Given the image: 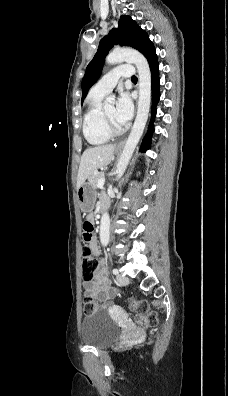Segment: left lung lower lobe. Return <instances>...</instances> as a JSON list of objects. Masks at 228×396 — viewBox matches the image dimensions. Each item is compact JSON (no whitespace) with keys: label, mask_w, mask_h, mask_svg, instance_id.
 Returning <instances> with one entry per match:
<instances>
[{"label":"left lung lower lobe","mask_w":228,"mask_h":396,"mask_svg":"<svg viewBox=\"0 0 228 396\" xmlns=\"http://www.w3.org/2000/svg\"><path fill=\"white\" fill-rule=\"evenodd\" d=\"M144 56L148 60L150 70H151V78H152V117L149 124V131L144 137L141 144V151H146L150 147L152 133L154 131L153 121L156 116V105L160 99V79H159V64L157 61V55L155 52V48L153 43L150 44Z\"/></svg>","instance_id":"left-lung-lower-lobe-1"}]
</instances>
